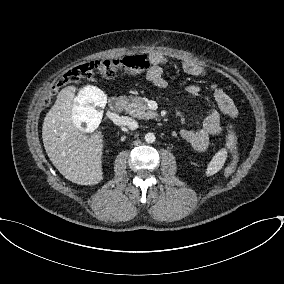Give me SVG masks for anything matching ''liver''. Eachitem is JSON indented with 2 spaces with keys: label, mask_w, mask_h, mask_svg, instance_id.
Segmentation results:
<instances>
[{
  "label": "liver",
  "mask_w": 284,
  "mask_h": 284,
  "mask_svg": "<svg viewBox=\"0 0 284 284\" xmlns=\"http://www.w3.org/2000/svg\"><path fill=\"white\" fill-rule=\"evenodd\" d=\"M75 87L68 86L57 95L46 114L42 139L52 164L69 181L95 185L103 179V136L97 132L88 137L73 123Z\"/></svg>",
  "instance_id": "1"
}]
</instances>
